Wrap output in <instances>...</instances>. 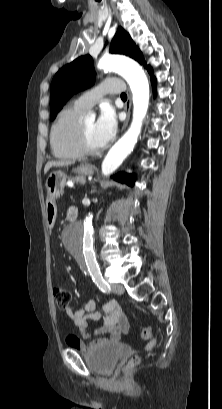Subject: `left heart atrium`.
<instances>
[{
    "instance_id": "obj_1",
    "label": "left heart atrium",
    "mask_w": 222,
    "mask_h": 409,
    "mask_svg": "<svg viewBox=\"0 0 222 409\" xmlns=\"http://www.w3.org/2000/svg\"><path fill=\"white\" fill-rule=\"evenodd\" d=\"M117 130V120L110 107H104L95 122V134L100 148L107 145Z\"/></svg>"
}]
</instances>
